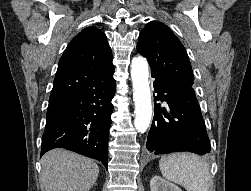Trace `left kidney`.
I'll return each instance as SVG.
<instances>
[{
  "label": "left kidney",
  "instance_id": "1",
  "mask_svg": "<svg viewBox=\"0 0 251 191\" xmlns=\"http://www.w3.org/2000/svg\"><path fill=\"white\" fill-rule=\"evenodd\" d=\"M151 191H182L178 185L163 179L160 175H154L150 181Z\"/></svg>",
  "mask_w": 251,
  "mask_h": 191
}]
</instances>
